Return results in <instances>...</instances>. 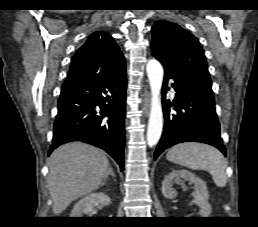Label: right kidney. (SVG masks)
I'll use <instances>...</instances> for the list:
<instances>
[{
  "label": "right kidney",
  "instance_id": "1",
  "mask_svg": "<svg viewBox=\"0 0 258 227\" xmlns=\"http://www.w3.org/2000/svg\"><path fill=\"white\" fill-rule=\"evenodd\" d=\"M110 203L111 199L105 193H92L74 205L70 217H83V214L93 213L96 207L108 206Z\"/></svg>",
  "mask_w": 258,
  "mask_h": 227
}]
</instances>
